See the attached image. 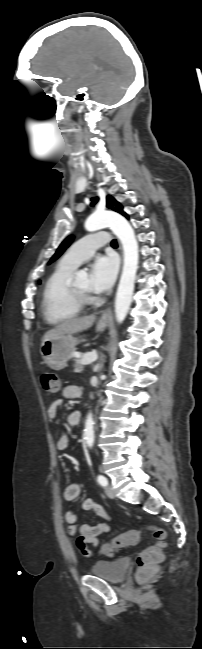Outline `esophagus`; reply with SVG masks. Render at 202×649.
I'll use <instances>...</instances> for the list:
<instances>
[{
    "label": "esophagus",
    "mask_w": 202,
    "mask_h": 649,
    "mask_svg": "<svg viewBox=\"0 0 202 649\" xmlns=\"http://www.w3.org/2000/svg\"><path fill=\"white\" fill-rule=\"evenodd\" d=\"M110 315H111V309L108 308L107 310L104 311V313L102 315V318L106 319V318L110 317Z\"/></svg>",
    "instance_id": "34e87169"
}]
</instances>
